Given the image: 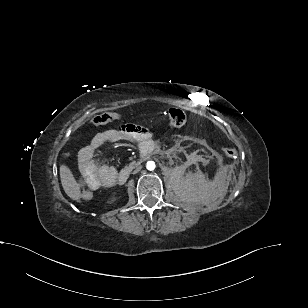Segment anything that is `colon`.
I'll return each instance as SVG.
<instances>
[{
	"mask_svg": "<svg viewBox=\"0 0 308 308\" xmlns=\"http://www.w3.org/2000/svg\"><path fill=\"white\" fill-rule=\"evenodd\" d=\"M121 118V115L115 112H107L102 113L100 115H97L93 118V124L94 125H104L108 124L110 122H113L115 120H119ZM187 117L186 113L180 109V108H170L167 117L165 121L163 122L164 125L169 127H180L183 126L186 123ZM224 154L228 158H234L236 156V150L233 148H224L223 150ZM94 192L90 188H84L82 189L80 193V198L84 201H89L93 198Z\"/></svg>",
	"mask_w": 308,
	"mask_h": 308,
	"instance_id": "obj_1",
	"label": "colon"
}]
</instances>
